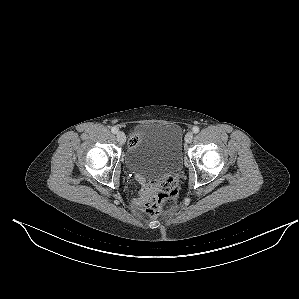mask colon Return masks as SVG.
Returning <instances> with one entry per match:
<instances>
[{
    "label": "colon",
    "instance_id": "5ec220e1",
    "mask_svg": "<svg viewBox=\"0 0 299 299\" xmlns=\"http://www.w3.org/2000/svg\"><path fill=\"white\" fill-rule=\"evenodd\" d=\"M136 137H130V144H134ZM178 192V180L174 176H168L151 186L150 196L146 203L147 212L150 215H157L163 206L174 200Z\"/></svg>",
    "mask_w": 299,
    "mask_h": 299
}]
</instances>
